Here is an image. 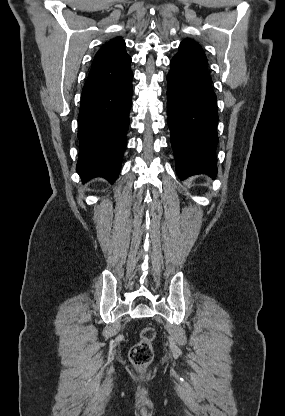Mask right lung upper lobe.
<instances>
[{
    "label": "right lung upper lobe",
    "instance_id": "1",
    "mask_svg": "<svg viewBox=\"0 0 285 416\" xmlns=\"http://www.w3.org/2000/svg\"><path fill=\"white\" fill-rule=\"evenodd\" d=\"M131 58L126 53L125 43L117 37L97 52L82 94L106 87L122 79L130 70Z\"/></svg>",
    "mask_w": 285,
    "mask_h": 416
}]
</instances>
